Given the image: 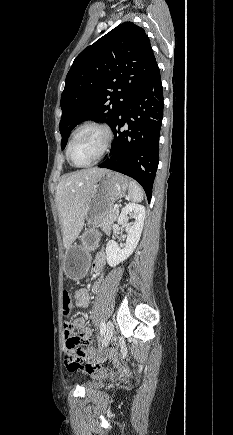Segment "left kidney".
I'll return each mask as SVG.
<instances>
[{"label":"left kidney","mask_w":233,"mask_h":435,"mask_svg":"<svg viewBox=\"0 0 233 435\" xmlns=\"http://www.w3.org/2000/svg\"><path fill=\"white\" fill-rule=\"evenodd\" d=\"M128 218H133L134 222L126 225L127 239L125 246L121 249L114 240H110L106 245V258L111 267L125 261L134 252L143 229L145 207L135 203L127 204L119 215L118 224L123 225Z\"/></svg>","instance_id":"1"}]
</instances>
